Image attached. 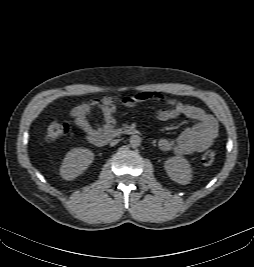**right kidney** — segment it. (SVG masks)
Masks as SVG:
<instances>
[{
	"instance_id": "ca27d5eb",
	"label": "right kidney",
	"mask_w": 254,
	"mask_h": 267,
	"mask_svg": "<svg viewBox=\"0 0 254 267\" xmlns=\"http://www.w3.org/2000/svg\"><path fill=\"white\" fill-rule=\"evenodd\" d=\"M94 160V154L86 148L70 150L60 167V175L65 180H73L82 174Z\"/></svg>"
}]
</instances>
